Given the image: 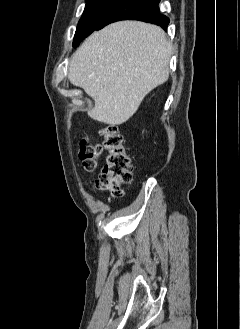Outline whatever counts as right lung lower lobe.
I'll return each instance as SVG.
<instances>
[{
	"label": "right lung lower lobe",
	"mask_w": 240,
	"mask_h": 329,
	"mask_svg": "<svg viewBox=\"0 0 240 329\" xmlns=\"http://www.w3.org/2000/svg\"><path fill=\"white\" fill-rule=\"evenodd\" d=\"M160 0H120L97 24L99 30L115 21L140 20L167 29L169 18L159 13Z\"/></svg>",
	"instance_id": "right-lung-lower-lobe-1"
}]
</instances>
